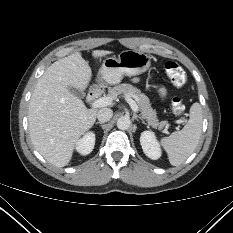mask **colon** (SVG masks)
I'll list each match as a JSON object with an SVG mask.
<instances>
[{
  "label": "colon",
  "mask_w": 233,
  "mask_h": 233,
  "mask_svg": "<svg viewBox=\"0 0 233 233\" xmlns=\"http://www.w3.org/2000/svg\"><path fill=\"white\" fill-rule=\"evenodd\" d=\"M165 73L169 81L175 87H182L187 80L186 73L183 68L174 61H167L164 64ZM185 110L184 102L180 98H174L171 104V111L175 116L181 115Z\"/></svg>",
  "instance_id": "5ec220e1"
}]
</instances>
